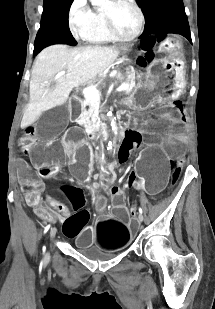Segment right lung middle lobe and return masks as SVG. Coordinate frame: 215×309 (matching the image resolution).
Returning a JSON list of instances; mask_svg holds the SVG:
<instances>
[{"label": "right lung middle lobe", "instance_id": "obj_1", "mask_svg": "<svg viewBox=\"0 0 215 309\" xmlns=\"http://www.w3.org/2000/svg\"><path fill=\"white\" fill-rule=\"evenodd\" d=\"M72 2L73 0H44L40 29L34 43V54L55 43L77 44L68 25Z\"/></svg>", "mask_w": 215, "mask_h": 309}]
</instances>
